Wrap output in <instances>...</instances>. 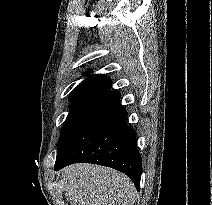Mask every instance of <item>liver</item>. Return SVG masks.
Segmentation results:
<instances>
[{
  "instance_id": "1",
  "label": "liver",
  "mask_w": 212,
  "mask_h": 205,
  "mask_svg": "<svg viewBox=\"0 0 212 205\" xmlns=\"http://www.w3.org/2000/svg\"><path fill=\"white\" fill-rule=\"evenodd\" d=\"M65 197L71 205H131L135 186L124 174L94 164H75L62 170Z\"/></svg>"
}]
</instances>
